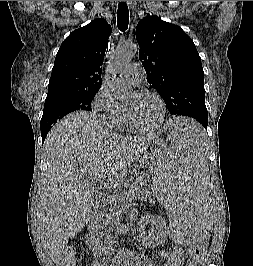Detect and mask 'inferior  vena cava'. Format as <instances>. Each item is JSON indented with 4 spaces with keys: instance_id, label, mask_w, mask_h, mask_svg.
I'll list each match as a JSON object with an SVG mask.
<instances>
[{
    "instance_id": "obj_1",
    "label": "inferior vena cava",
    "mask_w": 253,
    "mask_h": 266,
    "mask_svg": "<svg viewBox=\"0 0 253 266\" xmlns=\"http://www.w3.org/2000/svg\"><path fill=\"white\" fill-rule=\"evenodd\" d=\"M99 229H98V227H97V229L95 230V231H98Z\"/></svg>"
}]
</instances>
